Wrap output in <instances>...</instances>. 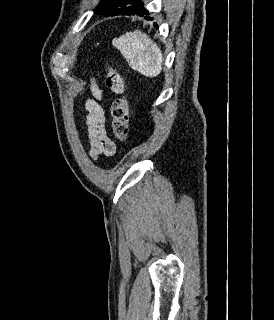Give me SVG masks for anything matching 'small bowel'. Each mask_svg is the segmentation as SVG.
<instances>
[{
  "instance_id": "1",
  "label": "small bowel",
  "mask_w": 274,
  "mask_h": 320,
  "mask_svg": "<svg viewBox=\"0 0 274 320\" xmlns=\"http://www.w3.org/2000/svg\"><path fill=\"white\" fill-rule=\"evenodd\" d=\"M90 86L95 99H87L84 101L85 112L82 115V122L86 128L89 140V154L93 159L100 156H111L115 152V144L109 138L106 131V112L97 102L102 98V91L99 89L96 80L90 76Z\"/></svg>"
}]
</instances>
